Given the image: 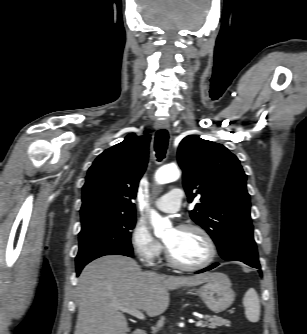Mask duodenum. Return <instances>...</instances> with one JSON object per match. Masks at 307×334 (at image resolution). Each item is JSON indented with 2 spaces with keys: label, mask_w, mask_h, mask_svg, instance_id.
I'll use <instances>...</instances> for the list:
<instances>
[{
  "label": "duodenum",
  "mask_w": 307,
  "mask_h": 334,
  "mask_svg": "<svg viewBox=\"0 0 307 334\" xmlns=\"http://www.w3.org/2000/svg\"><path fill=\"white\" fill-rule=\"evenodd\" d=\"M132 334H146V331L143 330V329L138 328V329L134 330L132 332Z\"/></svg>",
  "instance_id": "duodenum-1"
}]
</instances>
